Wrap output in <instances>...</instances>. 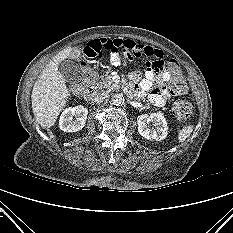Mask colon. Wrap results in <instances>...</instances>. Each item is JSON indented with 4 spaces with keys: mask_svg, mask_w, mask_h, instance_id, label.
I'll list each match as a JSON object with an SVG mask.
<instances>
[{
    "mask_svg": "<svg viewBox=\"0 0 233 233\" xmlns=\"http://www.w3.org/2000/svg\"><path fill=\"white\" fill-rule=\"evenodd\" d=\"M169 69L172 72V77L168 83L169 89L176 95H182L187 91V84L181 74L180 67L175 61L169 63ZM84 79L74 88L77 92H82L87 83L92 80V75L89 71L84 70ZM192 113V106L185 100H177L173 105V114L178 120H186Z\"/></svg>",
    "mask_w": 233,
    "mask_h": 233,
    "instance_id": "5ec220e1",
    "label": "colon"
}]
</instances>
